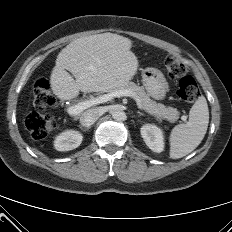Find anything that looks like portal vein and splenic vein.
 I'll return each mask as SVG.
<instances>
[{
	"instance_id": "obj_1",
	"label": "portal vein and splenic vein",
	"mask_w": 232,
	"mask_h": 232,
	"mask_svg": "<svg viewBox=\"0 0 232 232\" xmlns=\"http://www.w3.org/2000/svg\"><path fill=\"white\" fill-rule=\"evenodd\" d=\"M114 97H131L136 101L137 106L139 108H142L139 97L135 93H133L132 91L125 89V90L115 91V92H112L109 94H104V95H101L99 97H93L89 100L79 102L78 104H76L74 106H69L67 108V112L70 115H74V114L76 115V114L81 113L83 110L93 106V105H97V104H101V103H105L107 101H110ZM182 119L186 120V117L183 116Z\"/></svg>"
}]
</instances>
